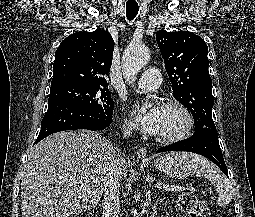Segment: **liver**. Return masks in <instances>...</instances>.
I'll list each match as a JSON object with an SVG mask.
<instances>
[{
	"mask_svg": "<svg viewBox=\"0 0 255 217\" xmlns=\"http://www.w3.org/2000/svg\"><path fill=\"white\" fill-rule=\"evenodd\" d=\"M112 143L100 133H55L28 154L21 182L22 217H69L100 201ZM119 178L127 176L125 158L117 155Z\"/></svg>",
	"mask_w": 255,
	"mask_h": 217,
	"instance_id": "obj_1",
	"label": "liver"
}]
</instances>
